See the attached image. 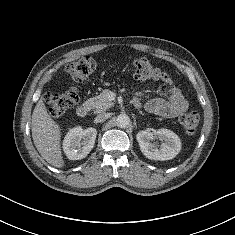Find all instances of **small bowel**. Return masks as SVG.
Returning a JSON list of instances; mask_svg holds the SVG:
<instances>
[{"label":"small bowel","instance_id":"small-bowel-1","mask_svg":"<svg viewBox=\"0 0 235 235\" xmlns=\"http://www.w3.org/2000/svg\"><path fill=\"white\" fill-rule=\"evenodd\" d=\"M136 100L139 102L140 106V101L138 99ZM145 109L149 113L161 116L163 118H176L187 111L188 102L178 89L173 88L168 99H151L145 104Z\"/></svg>","mask_w":235,"mask_h":235}]
</instances>
